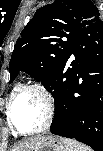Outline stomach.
<instances>
[{
  "label": "stomach",
  "instance_id": "obj_1",
  "mask_svg": "<svg viewBox=\"0 0 103 151\" xmlns=\"http://www.w3.org/2000/svg\"><path fill=\"white\" fill-rule=\"evenodd\" d=\"M26 151H66L61 138L47 135L36 137Z\"/></svg>",
  "mask_w": 103,
  "mask_h": 151
}]
</instances>
